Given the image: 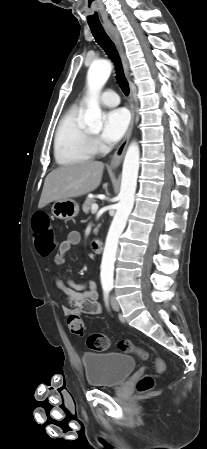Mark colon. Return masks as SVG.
Here are the masks:
<instances>
[{"mask_svg":"<svg viewBox=\"0 0 207 449\" xmlns=\"http://www.w3.org/2000/svg\"><path fill=\"white\" fill-rule=\"evenodd\" d=\"M33 235L38 253L44 257L49 256L55 247V238L49 218L43 212H37L33 216ZM68 327L73 335H85L84 322L77 315L69 316ZM87 345L92 350L102 352L109 348L110 342L106 335L102 333H93L88 336ZM118 347L121 351L125 353H134L143 360L149 358V353L146 350L135 346L128 340L120 341ZM155 365L158 372L164 371L165 364L161 359H157ZM153 383V378L150 375H146L138 382L137 389L139 392H147L153 387Z\"/></svg>","mask_w":207,"mask_h":449,"instance_id":"1","label":"colon"}]
</instances>
